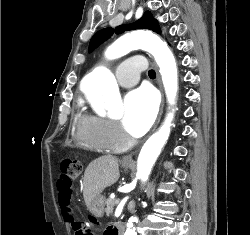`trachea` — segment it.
Listing matches in <instances>:
<instances>
[{
    "label": "trachea",
    "mask_w": 250,
    "mask_h": 235,
    "mask_svg": "<svg viewBox=\"0 0 250 235\" xmlns=\"http://www.w3.org/2000/svg\"><path fill=\"white\" fill-rule=\"evenodd\" d=\"M148 75L150 77H155L156 74H155V71L151 69V70L148 71Z\"/></svg>",
    "instance_id": "1"
}]
</instances>
